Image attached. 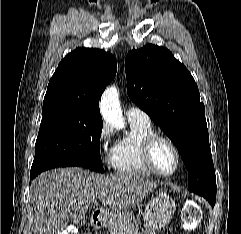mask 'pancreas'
Listing matches in <instances>:
<instances>
[{"label":"pancreas","mask_w":241,"mask_h":234,"mask_svg":"<svg viewBox=\"0 0 241 234\" xmlns=\"http://www.w3.org/2000/svg\"><path fill=\"white\" fill-rule=\"evenodd\" d=\"M109 234H122V233H120L119 228L111 227L109 230Z\"/></svg>","instance_id":"1"}]
</instances>
